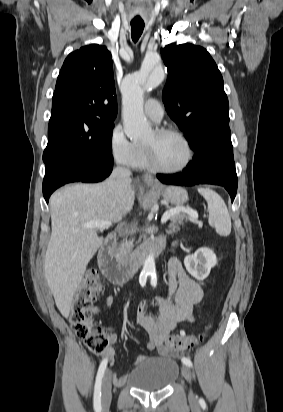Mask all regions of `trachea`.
Instances as JSON below:
<instances>
[{
	"mask_svg": "<svg viewBox=\"0 0 283 412\" xmlns=\"http://www.w3.org/2000/svg\"><path fill=\"white\" fill-rule=\"evenodd\" d=\"M144 29V23L143 22H131V30H132V40L134 42H137L138 39L140 38L142 32Z\"/></svg>",
	"mask_w": 283,
	"mask_h": 412,
	"instance_id": "3493384b",
	"label": "trachea"
}]
</instances>
